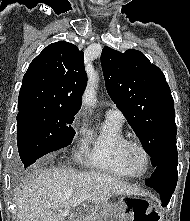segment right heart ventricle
I'll list each match as a JSON object with an SVG mask.
<instances>
[{"label":"right heart ventricle","instance_id":"e07e8e85","mask_svg":"<svg viewBox=\"0 0 190 221\" xmlns=\"http://www.w3.org/2000/svg\"><path fill=\"white\" fill-rule=\"evenodd\" d=\"M127 140L122 121L106 117L98 131L88 134L86 165L119 177H136L137 174L123 158V147Z\"/></svg>","mask_w":190,"mask_h":221}]
</instances>
